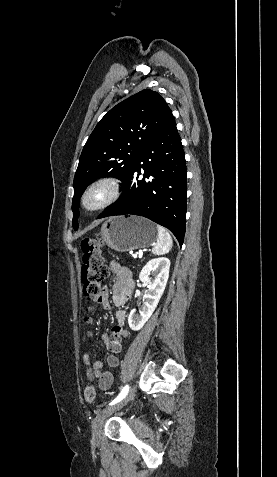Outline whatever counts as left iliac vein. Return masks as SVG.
Masks as SVG:
<instances>
[{"label":"left iliac vein","mask_w":277,"mask_h":477,"mask_svg":"<svg viewBox=\"0 0 277 477\" xmlns=\"http://www.w3.org/2000/svg\"><path fill=\"white\" fill-rule=\"evenodd\" d=\"M134 390L135 388L132 387L129 393H127V395L123 399L113 405L106 407L97 414V416L92 422V439L95 443H99L101 440V432L104 420L114 412L123 408L133 397Z\"/></svg>","instance_id":"obj_1"}]
</instances>
